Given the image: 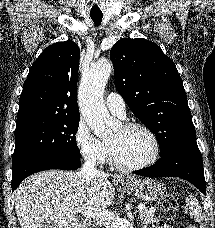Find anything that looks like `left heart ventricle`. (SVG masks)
Listing matches in <instances>:
<instances>
[{"instance_id":"1","label":"left heart ventricle","mask_w":215,"mask_h":228,"mask_svg":"<svg viewBox=\"0 0 215 228\" xmlns=\"http://www.w3.org/2000/svg\"><path fill=\"white\" fill-rule=\"evenodd\" d=\"M116 159L125 165H135L144 161L150 151L151 142L148 135L139 128L117 129L108 140Z\"/></svg>"}]
</instances>
